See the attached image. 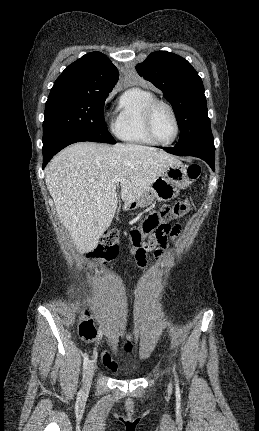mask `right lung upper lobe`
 <instances>
[{
    "label": "right lung upper lobe",
    "mask_w": 259,
    "mask_h": 431,
    "mask_svg": "<svg viewBox=\"0 0 259 431\" xmlns=\"http://www.w3.org/2000/svg\"><path fill=\"white\" fill-rule=\"evenodd\" d=\"M118 77L117 68L106 55L91 52L70 64L57 78L51 91L109 93Z\"/></svg>",
    "instance_id": "cb5924a9"
}]
</instances>
